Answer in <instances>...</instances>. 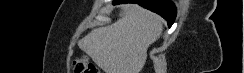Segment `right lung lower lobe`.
Masks as SVG:
<instances>
[{
  "mask_svg": "<svg viewBox=\"0 0 244 73\" xmlns=\"http://www.w3.org/2000/svg\"><path fill=\"white\" fill-rule=\"evenodd\" d=\"M138 3L139 5L156 12L167 20L171 27L176 17V7L169 0H114L113 4Z\"/></svg>",
  "mask_w": 244,
  "mask_h": 73,
  "instance_id": "1",
  "label": "right lung lower lobe"
}]
</instances>
